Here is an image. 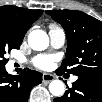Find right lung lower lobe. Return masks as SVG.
<instances>
[{"instance_id":"98d812e1","label":"right lung lower lobe","mask_w":102,"mask_h":102,"mask_svg":"<svg viewBox=\"0 0 102 102\" xmlns=\"http://www.w3.org/2000/svg\"><path fill=\"white\" fill-rule=\"evenodd\" d=\"M42 82V74L24 69L18 75H10L0 68V99L5 102H27L31 89Z\"/></svg>"}]
</instances>
